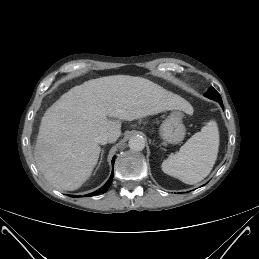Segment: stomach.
Wrapping results in <instances>:
<instances>
[{
	"label": "stomach",
	"instance_id": "0dacf381",
	"mask_svg": "<svg viewBox=\"0 0 259 259\" xmlns=\"http://www.w3.org/2000/svg\"><path fill=\"white\" fill-rule=\"evenodd\" d=\"M182 113L174 110L172 113L163 121L159 128L160 138L168 144H178L183 141L186 128L182 121Z\"/></svg>",
	"mask_w": 259,
	"mask_h": 259
}]
</instances>
